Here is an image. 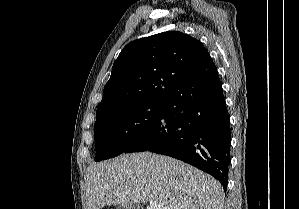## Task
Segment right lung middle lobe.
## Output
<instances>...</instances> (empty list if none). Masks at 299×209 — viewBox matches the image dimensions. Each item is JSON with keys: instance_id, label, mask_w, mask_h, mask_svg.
I'll use <instances>...</instances> for the list:
<instances>
[{"instance_id": "1", "label": "right lung middle lobe", "mask_w": 299, "mask_h": 209, "mask_svg": "<svg viewBox=\"0 0 299 209\" xmlns=\"http://www.w3.org/2000/svg\"><path fill=\"white\" fill-rule=\"evenodd\" d=\"M164 103L138 102L97 114L94 125L95 161L123 153L160 116Z\"/></svg>"}]
</instances>
